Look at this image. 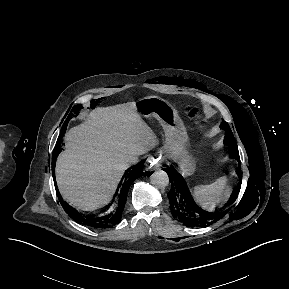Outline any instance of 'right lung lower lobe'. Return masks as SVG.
<instances>
[{"label":"right lung lower lobe","mask_w":289,"mask_h":289,"mask_svg":"<svg viewBox=\"0 0 289 289\" xmlns=\"http://www.w3.org/2000/svg\"><path fill=\"white\" fill-rule=\"evenodd\" d=\"M66 126L64 125L61 133L58 137L56 146L54 148L53 151V158H52V172L55 178V161L56 158L61 150V145H60V141L62 139L63 133L66 131ZM142 165H139L137 167H133V169H128L120 184L118 185V188L115 192L113 201L114 203L112 204V206H110V208L108 209V211H106L105 213L101 214V215H84L79 213L77 210H75L73 207H71L70 205H68L66 202L63 201L59 191L58 193V198L59 201L62 205V207L64 208V210L66 211V213L72 218L74 219L76 222H79L83 225H88L91 227H95V228H110L113 227L114 225H116L120 220H121V215L126 203V198H127V193L128 190L132 184V182L137 179L138 177L145 175L144 172H142Z\"/></svg>","instance_id":"98d812e1"}]
</instances>
